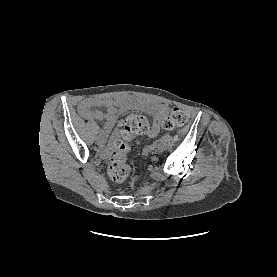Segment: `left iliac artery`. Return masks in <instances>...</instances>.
Masks as SVG:
<instances>
[{
  "mask_svg": "<svg viewBox=\"0 0 277 277\" xmlns=\"http://www.w3.org/2000/svg\"><path fill=\"white\" fill-rule=\"evenodd\" d=\"M170 141V137L164 136L160 139V143H168Z\"/></svg>",
  "mask_w": 277,
  "mask_h": 277,
  "instance_id": "left-iliac-artery-1",
  "label": "left iliac artery"
}]
</instances>
